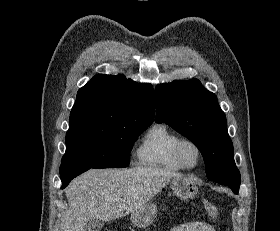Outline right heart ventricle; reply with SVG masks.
<instances>
[{
  "instance_id": "e07e8e85",
  "label": "right heart ventricle",
  "mask_w": 280,
  "mask_h": 231,
  "mask_svg": "<svg viewBox=\"0 0 280 231\" xmlns=\"http://www.w3.org/2000/svg\"><path fill=\"white\" fill-rule=\"evenodd\" d=\"M181 136L167 123L153 124L144 133L136 149L137 164L145 167H160L168 171H181L174 157V148Z\"/></svg>"
}]
</instances>
